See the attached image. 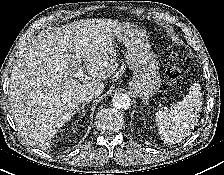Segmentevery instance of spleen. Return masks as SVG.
<instances>
[{"instance_id":"spleen-1","label":"spleen","mask_w":224,"mask_h":175,"mask_svg":"<svg viewBox=\"0 0 224 175\" xmlns=\"http://www.w3.org/2000/svg\"><path fill=\"white\" fill-rule=\"evenodd\" d=\"M201 110V87L199 83H193L182 101L156 113V126L161 140L167 144L181 142L197 125Z\"/></svg>"}]
</instances>
